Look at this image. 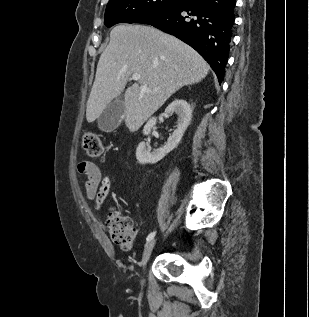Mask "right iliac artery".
Masks as SVG:
<instances>
[{"label":"right iliac artery","mask_w":309,"mask_h":317,"mask_svg":"<svg viewBox=\"0 0 309 317\" xmlns=\"http://www.w3.org/2000/svg\"><path fill=\"white\" fill-rule=\"evenodd\" d=\"M155 234H156V231L151 232V233L147 236V238H146L147 243L150 242V241L154 238Z\"/></svg>","instance_id":"right-iliac-artery-1"}]
</instances>
